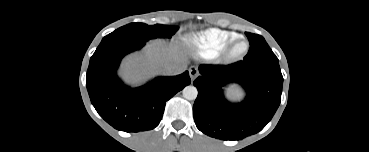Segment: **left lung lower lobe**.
<instances>
[{"instance_id": "obj_1", "label": "left lung lower lobe", "mask_w": 369, "mask_h": 152, "mask_svg": "<svg viewBox=\"0 0 369 152\" xmlns=\"http://www.w3.org/2000/svg\"><path fill=\"white\" fill-rule=\"evenodd\" d=\"M193 112L197 128L220 140H241L261 131L275 114L283 77L278 61H238L230 65H200ZM239 83L246 91L241 103H230L222 87Z\"/></svg>"}]
</instances>
